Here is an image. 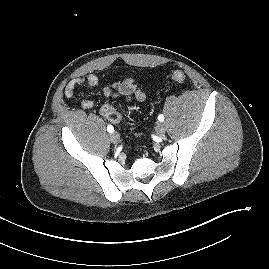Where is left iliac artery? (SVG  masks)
<instances>
[{
	"instance_id": "obj_1",
	"label": "left iliac artery",
	"mask_w": 269,
	"mask_h": 269,
	"mask_svg": "<svg viewBox=\"0 0 269 269\" xmlns=\"http://www.w3.org/2000/svg\"><path fill=\"white\" fill-rule=\"evenodd\" d=\"M158 120H159V121H164V116H163L162 114H160V115L158 116Z\"/></svg>"
}]
</instances>
